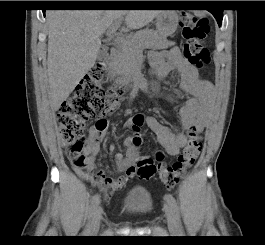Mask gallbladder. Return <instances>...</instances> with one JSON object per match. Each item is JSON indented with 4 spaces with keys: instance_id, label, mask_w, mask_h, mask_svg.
<instances>
[{
    "instance_id": "gallbladder-1",
    "label": "gallbladder",
    "mask_w": 265,
    "mask_h": 245,
    "mask_svg": "<svg viewBox=\"0 0 265 245\" xmlns=\"http://www.w3.org/2000/svg\"><path fill=\"white\" fill-rule=\"evenodd\" d=\"M107 56V52L105 50H100L98 53V59H104Z\"/></svg>"
}]
</instances>
